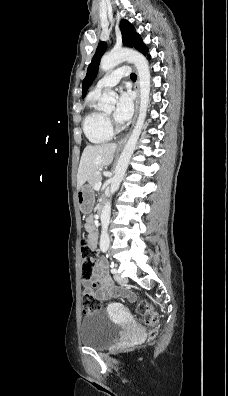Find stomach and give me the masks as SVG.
Wrapping results in <instances>:
<instances>
[{
    "label": "stomach",
    "mask_w": 228,
    "mask_h": 396,
    "mask_svg": "<svg viewBox=\"0 0 228 396\" xmlns=\"http://www.w3.org/2000/svg\"><path fill=\"white\" fill-rule=\"evenodd\" d=\"M77 201L79 209L83 214H89L92 212L95 203V193L90 185H83L78 189Z\"/></svg>",
    "instance_id": "obj_1"
}]
</instances>
